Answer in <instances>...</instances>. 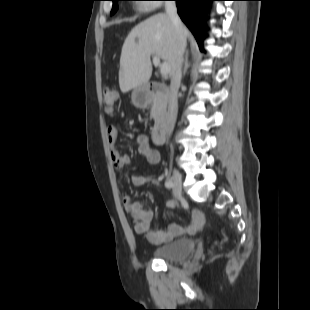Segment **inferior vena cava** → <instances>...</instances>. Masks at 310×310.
<instances>
[{"label": "inferior vena cava", "instance_id": "1", "mask_svg": "<svg viewBox=\"0 0 310 310\" xmlns=\"http://www.w3.org/2000/svg\"><path fill=\"white\" fill-rule=\"evenodd\" d=\"M166 14L171 19L177 36H178V43H177V50L175 55V65L171 74V84H170V97H169V107H168V119L166 125V133L170 135L173 131L176 117H177V110H178V89L181 83V67L183 62V54L185 51V39L183 36V25L181 20L177 14V8L174 1H167L165 4Z\"/></svg>", "mask_w": 310, "mask_h": 310}]
</instances>
